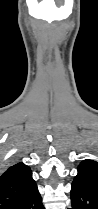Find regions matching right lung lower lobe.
Returning <instances> with one entry per match:
<instances>
[{"mask_svg":"<svg viewBox=\"0 0 98 209\" xmlns=\"http://www.w3.org/2000/svg\"><path fill=\"white\" fill-rule=\"evenodd\" d=\"M10 209H44L42 198L37 188L26 197L10 207Z\"/></svg>","mask_w":98,"mask_h":209,"instance_id":"98d812e1","label":"right lung lower lobe"}]
</instances>
